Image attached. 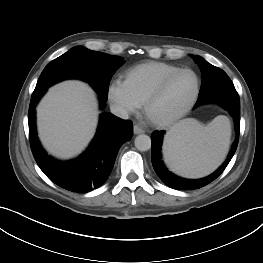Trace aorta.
Returning <instances> with one entry per match:
<instances>
[{
    "label": "aorta",
    "instance_id": "obj_1",
    "mask_svg": "<svg viewBox=\"0 0 263 263\" xmlns=\"http://www.w3.org/2000/svg\"><path fill=\"white\" fill-rule=\"evenodd\" d=\"M135 147L139 151H147L151 148V139L148 135L140 134L138 135L135 140Z\"/></svg>",
    "mask_w": 263,
    "mask_h": 263
}]
</instances>
